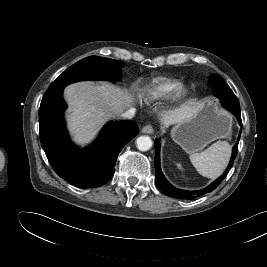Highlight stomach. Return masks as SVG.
<instances>
[{"mask_svg": "<svg viewBox=\"0 0 267 267\" xmlns=\"http://www.w3.org/2000/svg\"><path fill=\"white\" fill-rule=\"evenodd\" d=\"M232 117L216 102L205 100L190 117L175 124L171 136L186 153H195L209 143L231 134Z\"/></svg>", "mask_w": 267, "mask_h": 267, "instance_id": "obj_1", "label": "stomach"}]
</instances>
